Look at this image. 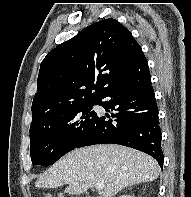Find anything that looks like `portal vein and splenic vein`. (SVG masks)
Listing matches in <instances>:
<instances>
[{
    "mask_svg": "<svg viewBox=\"0 0 191 197\" xmlns=\"http://www.w3.org/2000/svg\"><path fill=\"white\" fill-rule=\"evenodd\" d=\"M95 188H96L97 190H102V189L104 188V184H103V183H97V184L95 185Z\"/></svg>",
    "mask_w": 191,
    "mask_h": 197,
    "instance_id": "portal-vein-and-splenic-vein-1",
    "label": "portal vein and splenic vein"
}]
</instances>
